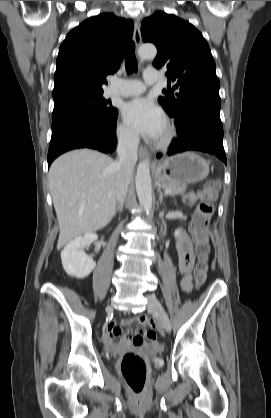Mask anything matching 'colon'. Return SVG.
Masks as SVG:
<instances>
[{"label":"colon","instance_id":"5ec220e1","mask_svg":"<svg viewBox=\"0 0 271 418\" xmlns=\"http://www.w3.org/2000/svg\"><path fill=\"white\" fill-rule=\"evenodd\" d=\"M219 189V182L210 181L201 192L189 193L184 198L187 204L197 202L192 220V236L198 252L196 283L199 286L205 282L208 272L209 243L206 229L214 212L212 200L216 198ZM139 320L150 328L154 327V322L146 316L139 317ZM147 337L154 339L156 337L154 331L149 330ZM121 372L132 392L140 394L145 387L147 378L145 360L137 354L127 353L121 361Z\"/></svg>","mask_w":271,"mask_h":418}]
</instances>
